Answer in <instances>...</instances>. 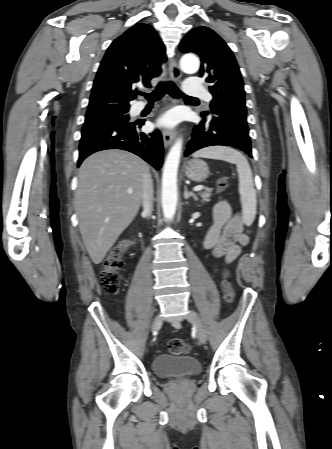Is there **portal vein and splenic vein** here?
Returning <instances> with one entry per match:
<instances>
[{"instance_id": "obj_1", "label": "portal vein and splenic vein", "mask_w": 332, "mask_h": 449, "mask_svg": "<svg viewBox=\"0 0 332 449\" xmlns=\"http://www.w3.org/2000/svg\"><path fill=\"white\" fill-rule=\"evenodd\" d=\"M204 188V186H202V185H198V186H196V187H194V191H201L202 189ZM128 193L129 194H131L132 193V191L131 190H129L128 191Z\"/></svg>"}]
</instances>
